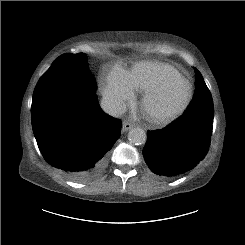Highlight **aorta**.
Masks as SVG:
<instances>
[{
	"mask_svg": "<svg viewBox=\"0 0 245 245\" xmlns=\"http://www.w3.org/2000/svg\"><path fill=\"white\" fill-rule=\"evenodd\" d=\"M128 138L131 143L135 145H142L145 144L147 135L141 128H132L128 133Z\"/></svg>",
	"mask_w": 245,
	"mask_h": 245,
	"instance_id": "obj_1",
	"label": "aorta"
}]
</instances>
